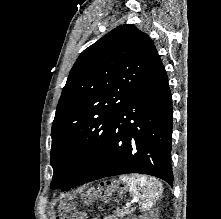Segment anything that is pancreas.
<instances>
[{"mask_svg":"<svg viewBox=\"0 0 221 219\" xmlns=\"http://www.w3.org/2000/svg\"><path fill=\"white\" fill-rule=\"evenodd\" d=\"M131 213V210H129L128 208H123V209H119L116 208L113 211L112 216L107 217L106 219H118V218H124L125 216L129 215Z\"/></svg>","mask_w":221,"mask_h":219,"instance_id":"obj_1","label":"pancreas"}]
</instances>
